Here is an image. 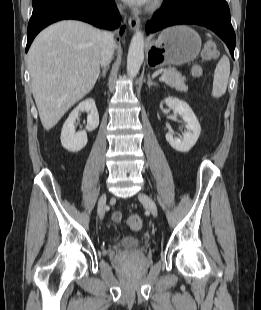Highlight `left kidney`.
Listing matches in <instances>:
<instances>
[{"mask_svg": "<svg viewBox=\"0 0 261 310\" xmlns=\"http://www.w3.org/2000/svg\"><path fill=\"white\" fill-rule=\"evenodd\" d=\"M164 101L175 114H179L182 117L187 129L182 139L174 137L171 133H167L166 140L176 151L188 152L199 138L201 132L200 124L191 107L186 102L175 97H167Z\"/></svg>", "mask_w": 261, "mask_h": 310, "instance_id": "left-kidney-1", "label": "left kidney"}]
</instances>
